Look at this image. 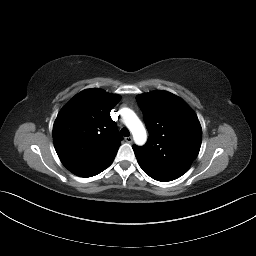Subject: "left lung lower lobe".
<instances>
[{"instance_id":"1","label":"left lung lower lobe","mask_w":256,"mask_h":256,"mask_svg":"<svg viewBox=\"0 0 256 256\" xmlns=\"http://www.w3.org/2000/svg\"><path fill=\"white\" fill-rule=\"evenodd\" d=\"M153 179H154V178H153ZM155 180L162 181V182H166V180H160V179H155Z\"/></svg>"}]
</instances>
